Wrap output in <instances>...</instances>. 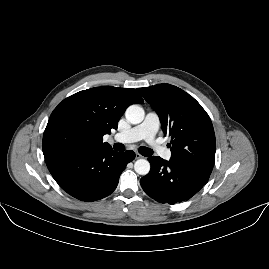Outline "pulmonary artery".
I'll return each instance as SVG.
<instances>
[{
  "instance_id": "pulmonary-artery-1",
  "label": "pulmonary artery",
  "mask_w": 269,
  "mask_h": 269,
  "mask_svg": "<svg viewBox=\"0 0 269 269\" xmlns=\"http://www.w3.org/2000/svg\"><path fill=\"white\" fill-rule=\"evenodd\" d=\"M160 128V118L155 111H150L146 114L143 122L126 132L118 133L113 136V141L122 144L136 143L139 141H146L149 144H154V140L157 132ZM158 155L163 156V158L169 160L171 157V152L163 148V146L158 145L155 148Z\"/></svg>"
}]
</instances>
